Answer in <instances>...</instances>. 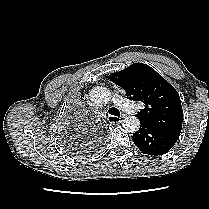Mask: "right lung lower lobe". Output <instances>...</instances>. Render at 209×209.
Listing matches in <instances>:
<instances>
[{
    "instance_id": "right-lung-lower-lobe-1",
    "label": "right lung lower lobe",
    "mask_w": 209,
    "mask_h": 209,
    "mask_svg": "<svg viewBox=\"0 0 209 209\" xmlns=\"http://www.w3.org/2000/svg\"><path fill=\"white\" fill-rule=\"evenodd\" d=\"M102 143V135H99L96 137V140L93 142L92 145H81L77 148H75L73 150V152L77 153V154H81V155H87L89 153H92L93 151H95V149H97L96 147H98L99 145H101Z\"/></svg>"
}]
</instances>
